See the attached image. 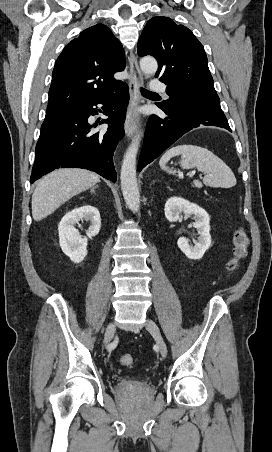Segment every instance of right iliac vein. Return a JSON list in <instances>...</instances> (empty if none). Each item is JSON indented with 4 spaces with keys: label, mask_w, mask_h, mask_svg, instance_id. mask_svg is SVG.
I'll return each instance as SVG.
<instances>
[{
    "label": "right iliac vein",
    "mask_w": 272,
    "mask_h": 452,
    "mask_svg": "<svg viewBox=\"0 0 272 452\" xmlns=\"http://www.w3.org/2000/svg\"><path fill=\"white\" fill-rule=\"evenodd\" d=\"M114 333H115V325L113 322H110L107 325L106 330H105L104 342H105L106 346L109 345V343L111 342V339H112Z\"/></svg>",
    "instance_id": "1"
}]
</instances>
